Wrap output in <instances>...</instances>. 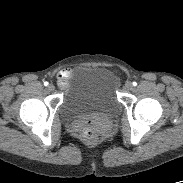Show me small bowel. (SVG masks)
I'll return each instance as SVG.
<instances>
[{
  "label": "small bowel",
  "instance_id": "obj_1",
  "mask_svg": "<svg viewBox=\"0 0 183 183\" xmlns=\"http://www.w3.org/2000/svg\"><path fill=\"white\" fill-rule=\"evenodd\" d=\"M70 76V72L69 71H63L60 74V80L62 82V84H66L68 78Z\"/></svg>",
  "mask_w": 183,
  "mask_h": 183
}]
</instances>
